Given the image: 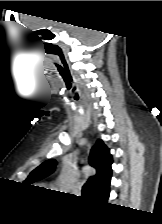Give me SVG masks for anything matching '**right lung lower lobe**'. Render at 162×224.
<instances>
[{"mask_svg":"<svg viewBox=\"0 0 162 224\" xmlns=\"http://www.w3.org/2000/svg\"><path fill=\"white\" fill-rule=\"evenodd\" d=\"M109 194H110V191L107 194H105L104 196L100 197L99 199H101L103 201H107L108 197H109Z\"/></svg>","mask_w":162,"mask_h":224,"instance_id":"98d812e1","label":"right lung lower lobe"}]
</instances>
